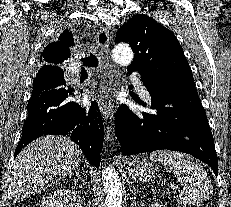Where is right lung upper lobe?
Returning <instances> with one entry per match:
<instances>
[{
	"label": "right lung upper lobe",
	"instance_id": "right-lung-upper-lobe-1",
	"mask_svg": "<svg viewBox=\"0 0 231 207\" xmlns=\"http://www.w3.org/2000/svg\"><path fill=\"white\" fill-rule=\"evenodd\" d=\"M59 39L60 41L53 42L44 49L40 61L49 65H44L43 67H58L54 65L62 63L70 57L69 47L74 45V40H70L63 35Z\"/></svg>",
	"mask_w": 231,
	"mask_h": 207
}]
</instances>
